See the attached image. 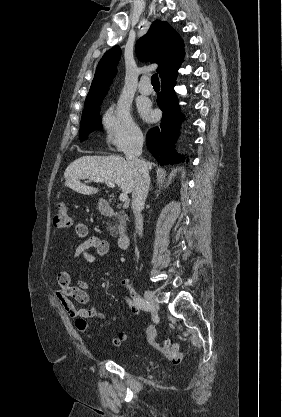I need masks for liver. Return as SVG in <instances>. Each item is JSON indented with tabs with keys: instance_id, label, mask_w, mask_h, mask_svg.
<instances>
[{
	"instance_id": "1",
	"label": "liver",
	"mask_w": 282,
	"mask_h": 417,
	"mask_svg": "<svg viewBox=\"0 0 282 417\" xmlns=\"http://www.w3.org/2000/svg\"><path fill=\"white\" fill-rule=\"evenodd\" d=\"M153 162H147L151 168ZM135 166L123 156H80L67 166L64 172L65 186L81 194H95L98 188L87 186L80 178H104L116 182L122 192H132L134 188Z\"/></svg>"
}]
</instances>
